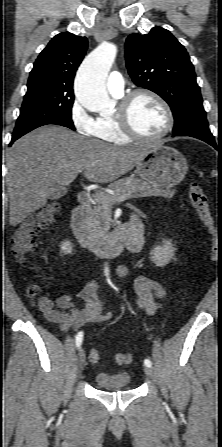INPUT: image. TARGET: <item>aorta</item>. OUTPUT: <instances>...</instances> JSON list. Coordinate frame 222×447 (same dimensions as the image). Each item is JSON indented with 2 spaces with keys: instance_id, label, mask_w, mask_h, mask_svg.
Here are the masks:
<instances>
[{
  "instance_id": "1",
  "label": "aorta",
  "mask_w": 222,
  "mask_h": 447,
  "mask_svg": "<svg viewBox=\"0 0 222 447\" xmlns=\"http://www.w3.org/2000/svg\"><path fill=\"white\" fill-rule=\"evenodd\" d=\"M117 47L109 42L101 43L82 62L75 80L77 101L91 112L110 110L105 79L115 60Z\"/></svg>"
}]
</instances>
